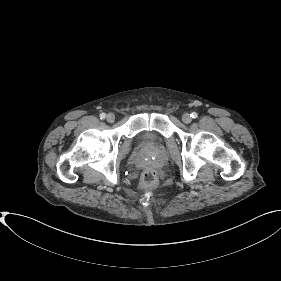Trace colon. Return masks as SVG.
Masks as SVG:
<instances>
[{
	"label": "colon",
	"mask_w": 281,
	"mask_h": 281,
	"mask_svg": "<svg viewBox=\"0 0 281 281\" xmlns=\"http://www.w3.org/2000/svg\"><path fill=\"white\" fill-rule=\"evenodd\" d=\"M156 180H157L156 172L152 169H149L142 174L141 185L144 189H150L155 185Z\"/></svg>",
	"instance_id": "obj_1"
}]
</instances>
